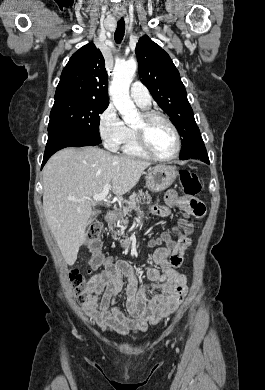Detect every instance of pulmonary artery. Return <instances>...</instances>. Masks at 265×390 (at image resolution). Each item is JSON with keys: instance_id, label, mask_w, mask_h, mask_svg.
I'll return each mask as SVG.
<instances>
[{"instance_id": "obj_1", "label": "pulmonary artery", "mask_w": 265, "mask_h": 390, "mask_svg": "<svg viewBox=\"0 0 265 390\" xmlns=\"http://www.w3.org/2000/svg\"><path fill=\"white\" fill-rule=\"evenodd\" d=\"M130 95L133 101L142 108H147L151 105V96L148 89L139 81L132 83Z\"/></svg>"}]
</instances>
